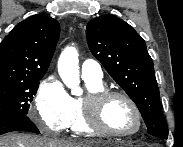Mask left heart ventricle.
I'll return each mask as SVG.
<instances>
[{"instance_id": "obj_1", "label": "left heart ventricle", "mask_w": 183, "mask_h": 147, "mask_svg": "<svg viewBox=\"0 0 183 147\" xmlns=\"http://www.w3.org/2000/svg\"><path fill=\"white\" fill-rule=\"evenodd\" d=\"M102 115L106 125L118 132H133L138 126L137 118L131 106L120 97H113L106 101Z\"/></svg>"}]
</instances>
